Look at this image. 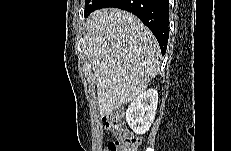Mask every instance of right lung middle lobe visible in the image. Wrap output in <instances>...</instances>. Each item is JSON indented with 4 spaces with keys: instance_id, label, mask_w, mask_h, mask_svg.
<instances>
[{
    "instance_id": "obj_1",
    "label": "right lung middle lobe",
    "mask_w": 231,
    "mask_h": 151,
    "mask_svg": "<svg viewBox=\"0 0 231 151\" xmlns=\"http://www.w3.org/2000/svg\"><path fill=\"white\" fill-rule=\"evenodd\" d=\"M91 2L90 0H86V3H85V11L91 6ZM84 11V12H85Z\"/></svg>"
}]
</instances>
